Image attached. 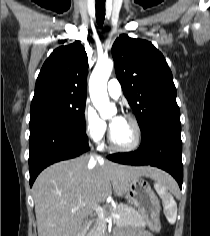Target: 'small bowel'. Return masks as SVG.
Masks as SVG:
<instances>
[{
    "instance_id": "c3829d8e",
    "label": "small bowel",
    "mask_w": 210,
    "mask_h": 236,
    "mask_svg": "<svg viewBox=\"0 0 210 236\" xmlns=\"http://www.w3.org/2000/svg\"><path fill=\"white\" fill-rule=\"evenodd\" d=\"M116 236H151L146 232H124V231H117Z\"/></svg>"
}]
</instances>
